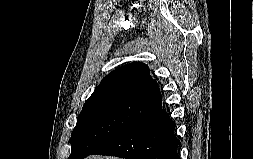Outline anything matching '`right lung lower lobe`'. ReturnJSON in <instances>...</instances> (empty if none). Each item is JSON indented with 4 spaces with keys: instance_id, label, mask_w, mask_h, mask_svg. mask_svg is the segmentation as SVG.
<instances>
[{
    "instance_id": "1",
    "label": "right lung lower lobe",
    "mask_w": 253,
    "mask_h": 159,
    "mask_svg": "<svg viewBox=\"0 0 253 159\" xmlns=\"http://www.w3.org/2000/svg\"><path fill=\"white\" fill-rule=\"evenodd\" d=\"M175 122L159 106L135 125L101 144L91 154L126 159H180L179 140L174 134Z\"/></svg>"
}]
</instances>
